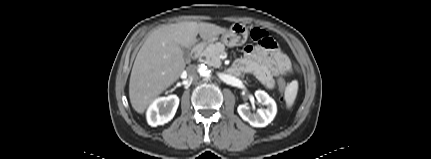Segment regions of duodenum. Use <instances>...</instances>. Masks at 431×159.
I'll use <instances>...</instances> for the list:
<instances>
[{
	"label": "duodenum",
	"mask_w": 431,
	"mask_h": 159,
	"mask_svg": "<svg viewBox=\"0 0 431 159\" xmlns=\"http://www.w3.org/2000/svg\"><path fill=\"white\" fill-rule=\"evenodd\" d=\"M203 48H204V43H203V42L196 43V44L193 46L192 50H191V58H192V59H196V58H198V56H199V55H200V53L202 52ZM230 72H231V73H235V71H234V70H231Z\"/></svg>",
	"instance_id": "obj_1"
}]
</instances>
